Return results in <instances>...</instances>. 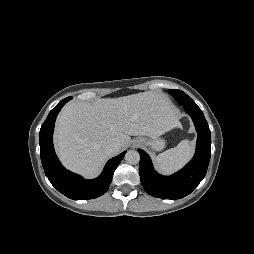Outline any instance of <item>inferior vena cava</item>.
<instances>
[{
  "label": "inferior vena cava",
  "mask_w": 254,
  "mask_h": 254,
  "mask_svg": "<svg viewBox=\"0 0 254 254\" xmlns=\"http://www.w3.org/2000/svg\"><path fill=\"white\" fill-rule=\"evenodd\" d=\"M120 150V145L118 143H110L106 146L105 151L108 155H113Z\"/></svg>",
  "instance_id": "602c4592"
}]
</instances>
